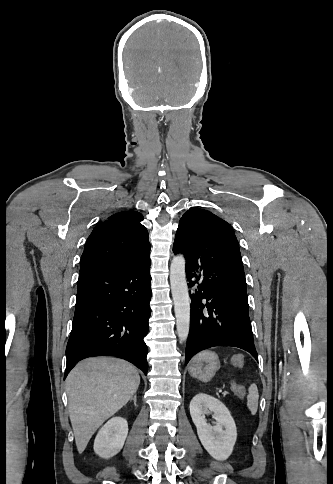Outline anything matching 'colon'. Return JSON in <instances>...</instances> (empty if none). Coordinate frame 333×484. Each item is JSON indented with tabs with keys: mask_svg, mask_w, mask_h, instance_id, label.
<instances>
[{
	"mask_svg": "<svg viewBox=\"0 0 333 484\" xmlns=\"http://www.w3.org/2000/svg\"><path fill=\"white\" fill-rule=\"evenodd\" d=\"M232 364L235 367H242L243 366V358L241 356L234 357L233 360H232ZM232 390L239 397H243L246 393L245 387L243 385L237 383L236 381L232 382Z\"/></svg>",
	"mask_w": 333,
	"mask_h": 484,
	"instance_id": "5ec220e1",
	"label": "colon"
}]
</instances>
